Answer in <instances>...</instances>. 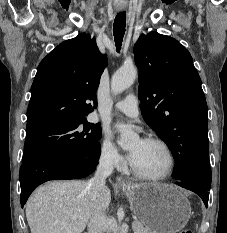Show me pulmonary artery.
Listing matches in <instances>:
<instances>
[{"label": "pulmonary artery", "mask_w": 227, "mask_h": 233, "mask_svg": "<svg viewBox=\"0 0 227 233\" xmlns=\"http://www.w3.org/2000/svg\"><path fill=\"white\" fill-rule=\"evenodd\" d=\"M115 109L130 118H138V99L134 94H129L123 100L116 103Z\"/></svg>", "instance_id": "e3ab8cb5"}]
</instances>
